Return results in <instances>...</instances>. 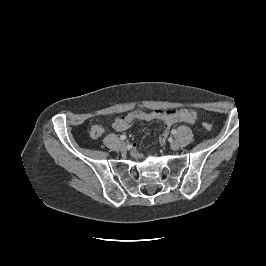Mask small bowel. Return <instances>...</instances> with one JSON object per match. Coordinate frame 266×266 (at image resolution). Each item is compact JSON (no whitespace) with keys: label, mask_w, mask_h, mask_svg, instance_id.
Masks as SVG:
<instances>
[{"label":"small bowel","mask_w":266,"mask_h":266,"mask_svg":"<svg viewBox=\"0 0 266 266\" xmlns=\"http://www.w3.org/2000/svg\"><path fill=\"white\" fill-rule=\"evenodd\" d=\"M197 114L190 109H177V110H155L146 112L143 110L132 111L124 116L118 117L114 120L112 126L116 131H125L131 127L135 121H153L159 120L163 122V131L159 136V142L164 144L167 140V135L170 127L175 123L183 122L192 124L196 121ZM104 133V128L100 124L92 125L90 129V136L93 139L101 137Z\"/></svg>","instance_id":"1"}]
</instances>
